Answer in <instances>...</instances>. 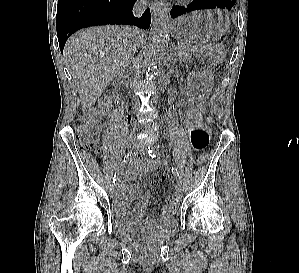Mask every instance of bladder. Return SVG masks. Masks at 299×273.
I'll use <instances>...</instances> for the list:
<instances>
[{
  "mask_svg": "<svg viewBox=\"0 0 299 273\" xmlns=\"http://www.w3.org/2000/svg\"><path fill=\"white\" fill-rule=\"evenodd\" d=\"M138 218L133 215L123 214L119 210H113V223L117 227L128 228L133 226L137 222ZM161 224L164 226L174 225L175 218L170 216L168 218L162 219Z\"/></svg>",
  "mask_w": 299,
  "mask_h": 273,
  "instance_id": "obj_1",
  "label": "bladder"
}]
</instances>
